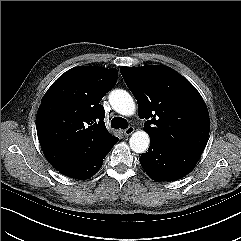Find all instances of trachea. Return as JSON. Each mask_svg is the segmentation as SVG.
Here are the masks:
<instances>
[{"instance_id":"obj_1","label":"trachea","mask_w":241,"mask_h":241,"mask_svg":"<svg viewBox=\"0 0 241 241\" xmlns=\"http://www.w3.org/2000/svg\"><path fill=\"white\" fill-rule=\"evenodd\" d=\"M111 126L112 128H115V129H118V128L126 129L128 127V122L126 119L122 117H114L111 121Z\"/></svg>"}]
</instances>
